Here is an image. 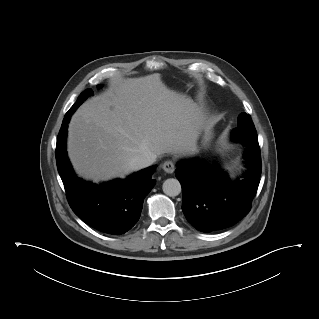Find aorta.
<instances>
[{
  "instance_id": "obj_1",
  "label": "aorta",
  "mask_w": 319,
  "mask_h": 319,
  "mask_svg": "<svg viewBox=\"0 0 319 319\" xmlns=\"http://www.w3.org/2000/svg\"><path fill=\"white\" fill-rule=\"evenodd\" d=\"M163 192L170 197H175L181 192V184L177 179L169 178L163 183Z\"/></svg>"
}]
</instances>
